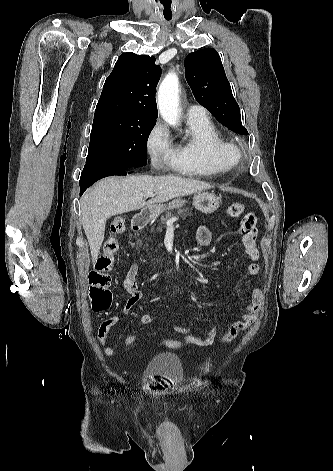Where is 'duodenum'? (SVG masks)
<instances>
[{"instance_id":"duodenum-1","label":"duodenum","mask_w":333,"mask_h":471,"mask_svg":"<svg viewBox=\"0 0 333 471\" xmlns=\"http://www.w3.org/2000/svg\"><path fill=\"white\" fill-rule=\"evenodd\" d=\"M148 221H149V213L147 210H143L132 219L131 228L133 231L137 232L140 229L144 228L146 224L148 223ZM176 270H177V267L173 266L168 269V272L173 273Z\"/></svg>"}]
</instances>
